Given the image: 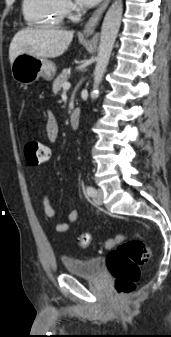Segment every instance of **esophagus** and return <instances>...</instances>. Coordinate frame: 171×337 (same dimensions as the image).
Segmentation results:
<instances>
[{
	"mask_svg": "<svg viewBox=\"0 0 171 337\" xmlns=\"http://www.w3.org/2000/svg\"><path fill=\"white\" fill-rule=\"evenodd\" d=\"M110 1L111 0H104L102 2V4L94 11V13L92 14V16L87 21V23L84 27L83 33L85 35H91L95 31L98 23L101 20V17L103 15L105 9L109 5Z\"/></svg>",
	"mask_w": 171,
	"mask_h": 337,
	"instance_id": "1",
	"label": "esophagus"
}]
</instances>
